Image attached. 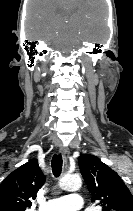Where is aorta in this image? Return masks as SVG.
I'll return each instance as SVG.
<instances>
[{
	"label": "aorta",
	"mask_w": 133,
	"mask_h": 211,
	"mask_svg": "<svg viewBox=\"0 0 133 211\" xmlns=\"http://www.w3.org/2000/svg\"><path fill=\"white\" fill-rule=\"evenodd\" d=\"M60 188L66 191H77L82 186V181L77 175H66L59 181Z\"/></svg>",
	"instance_id": "762f6f07"
}]
</instances>
